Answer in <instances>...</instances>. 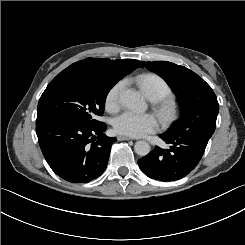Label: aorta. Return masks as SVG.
I'll return each mask as SVG.
<instances>
[{
	"mask_svg": "<svg viewBox=\"0 0 245 245\" xmlns=\"http://www.w3.org/2000/svg\"><path fill=\"white\" fill-rule=\"evenodd\" d=\"M121 102L130 109L142 111L146 108V103L141 94L135 90L126 89L120 94ZM136 154L139 156H146L149 154L151 148L146 141H137L134 146Z\"/></svg>",
	"mask_w": 245,
	"mask_h": 245,
	"instance_id": "762f6f07",
	"label": "aorta"
}]
</instances>
